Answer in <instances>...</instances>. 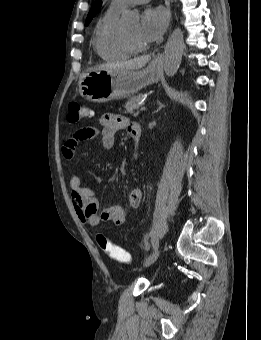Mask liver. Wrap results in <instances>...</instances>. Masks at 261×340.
I'll use <instances>...</instances> for the list:
<instances>
[{
    "instance_id": "obj_1",
    "label": "liver",
    "mask_w": 261,
    "mask_h": 340,
    "mask_svg": "<svg viewBox=\"0 0 261 340\" xmlns=\"http://www.w3.org/2000/svg\"><path fill=\"white\" fill-rule=\"evenodd\" d=\"M150 59L151 57L147 55L121 63H105L94 67L93 70H108V71L135 70L144 67L150 61Z\"/></svg>"
}]
</instances>
